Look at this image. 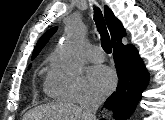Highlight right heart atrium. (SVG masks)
Here are the masks:
<instances>
[{
    "label": "right heart atrium",
    "mask_w": 165,
    "mask_h": 120,
    "mask_svg": "<svg viewBox=\"0 0 165 120\" xmlns=\"http://www.w3.org/2000/svg\"><path fill=\"white\" fill-rule=\"evenodd\" d=\"M46 87L51 96L69 102L81 103L99 98L82 74L66 73L57 61L53 64Z\"/></svg>",
    "instance_id": "obj_1"
}]
</instances>
